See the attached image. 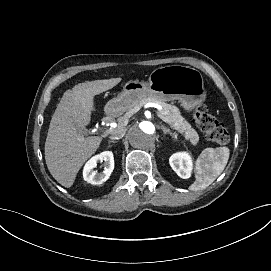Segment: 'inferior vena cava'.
Returning a JSON list of instances; mask_svg holds the SVG:
<instances>
[{
  "instance_id": "1",
  "label": "inferior vena cava",
  "mask_w": 271,
  "mask_h": 271,
  "mask_svg": "<svg viewBox=\"0 0 271 271\" xmlns=\"http://www.w3.org/2000/svg\"><path fill=\"white\" fill-rule=\"evenodd\" d=\"M112 135H113V136L109 137V138L112 139V140H118V139H121V138L125 135V130L122 129V128L115 129V130L112 132Z\"/></svg>"
}]
</instances>
